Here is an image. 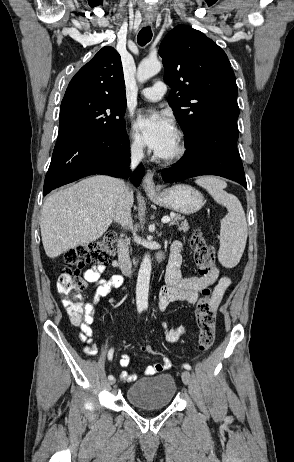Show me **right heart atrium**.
<instances>
[{
  "mask_svg": "<svg viewBox=\"0 0 294 462\" xmlns=\"http://www.w3.org/2000/svg\"><path fill=\"white\" fill-rule=\"evenodd\" d=\"M130 150L135 155H141L144 150V143L142 138L135 132L130 134Z\"/></svg>",
  "mask_w": 294,
  "mask_h": 462,
  "instance_id": "1",
  "label": "right heart atrium"
}]
</instances>
